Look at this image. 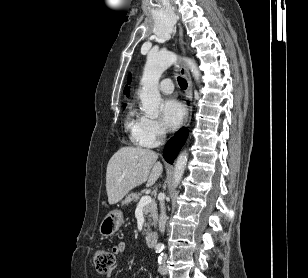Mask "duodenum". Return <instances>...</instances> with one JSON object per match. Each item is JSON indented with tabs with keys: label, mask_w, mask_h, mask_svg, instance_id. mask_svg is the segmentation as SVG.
Instances as JSON below:
<instances>
[{
	"label": "duodenum",
	"mask_w": 308,
	"mask_h": 278,
	"mask_svg": "<svg viewBox=\"0 0 308 278\" xmlns=\"http://www.w3.org/2000/svg\"><path fill=\"white\" fill-rule=\"evenodd\" d=\"M158 240V234L155 231H152L146 236V243L149 247H154Z\"/></svg>",
	"instance_id": "1"
}]
</instances>
